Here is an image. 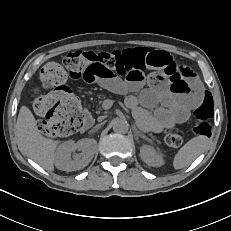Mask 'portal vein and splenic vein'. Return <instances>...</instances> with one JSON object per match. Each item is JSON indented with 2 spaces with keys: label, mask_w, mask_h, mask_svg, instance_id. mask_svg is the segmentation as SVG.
I'll return each instance as SVG.
<instances>
[{
  "label": "portal vein and splenic vein",
  "mask_w": 231,
  "mask_h": 231,
  "mask_svg": "<svg viewBox=\"0 0 231 231\" xmlns=\"http://www.w3.org/2000/svg\"><path fill=\"white\" fill-rule=\"evenodd\" d=\"M112 105H113V100H110V99H106L102 103V107L104 110L110 109L112 107Z\"/></svg>",
  "instance_id": "portal-vein-and-splenic-vein-1"
}]
</instances>
